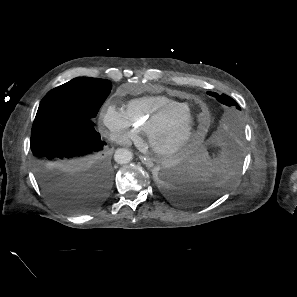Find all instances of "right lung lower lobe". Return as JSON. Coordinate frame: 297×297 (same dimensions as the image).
I'll return each instance as SVG.
<instances>
[{
  "label": "right lung lower lobe",
  "instance_id": "98d812e1",
  "mask_svg": "<svg viewBox=\"0 0 297 297\" xmlns=\"http://www.w3.org/2000/svg\"><path fill=\"white\" fill-rule=\"evenodd\" d=\"M31 133L35 174L46 196L68 213H88L101 207L114 172L106 143L94 126L62 120Z\"/></svg>",
  "mask_w": 297,
  "mask_h": 297
}]
</instances>
